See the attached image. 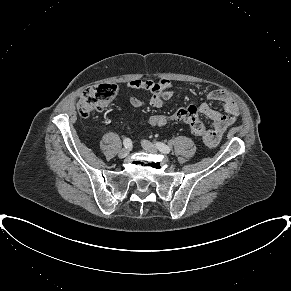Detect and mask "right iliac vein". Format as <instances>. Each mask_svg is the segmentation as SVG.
Listing matches in <instances>:
<instances>
[{"instance_id": "obj_1", "label": "right iliac vein", "mask_w": 291, "mask_h": 291, "mask_svg": "<svg viewBox=\"0 0 291 291\" xmlns=\"http://www.w3.org/2000/svg\"><path fill=\"white\" fill-rule=\"evenodd\" d=\"M129 154V149L128 148H123L119 151L118 156L119 158H125Z\"/></svg>"}]
</instances>
